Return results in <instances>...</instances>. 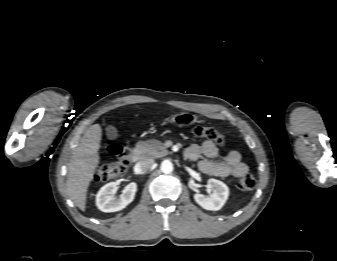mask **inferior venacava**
Returning <instances> with one entry per match:
<instances>
[{
	"label": "inferior vena cava",
	"mask_w": 337,
	"mask_h": 261,
	"mask_svg": "<svg viewBox=\"0 0 337 261\" xmlns=\"http://www.w3.org/2000/svg\"><path fill=\"white\" fill-rule=\"evenodd\" d=\"M154 164L153 159H144L136 163L135 165V171L139 174L145 173L148 171L152 165Z\"/></svg>",
	"instance_id": "602c4592"
}]
</instances>
